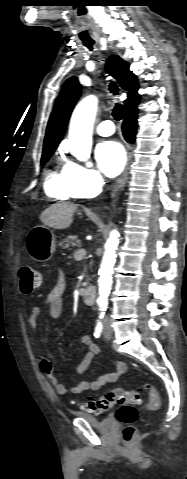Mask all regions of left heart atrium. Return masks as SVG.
Segmentation results:
<instances>
[{
	"mask_svg": "<svg viewBox=\"0 0 187 479\" xmlns=\"http://www.w3.org/2000/svg\"><path fill=\"white\" fill-rule=\"evenodd\" d=\"M95 156L100 168L109 177L117 176L125 166V151L116 141L100 143L96 148Z\"/></svg>",
	"mask_w": 187,
	"mask_h": 479,
	"instance_id": "1",
	"label": "left heart atrium"
}]
</instances>
